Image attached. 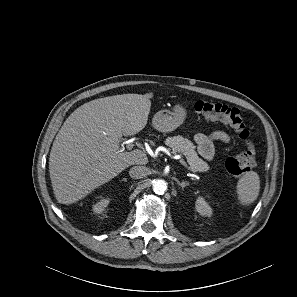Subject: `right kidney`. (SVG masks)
I'll list each match as a JSON object with an SVG mask.
<instances>
[{"instance_id":"obj_1","label":"right kidney","mask_w":297,"mask_h":297,"mask_svg":"<svg viewBox=\"0 0 297 297\" xmlns=\"http://www.w3.org/2000/svg\"><path fill=\"white\" fill-rule=\"evenodd\" d=\"M110 200L107 198H102L99 202L93 205L94 213H101L108 206Z\"/></svg>"}]
</instances>
